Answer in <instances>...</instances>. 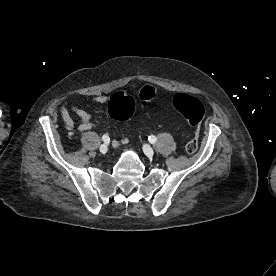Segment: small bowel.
I'll return each instance as SVG.
<instances>
[{"mask_svg":"<svg viewBox=\"0 0 276 276\" xmlns=\"http://www.w3.org/2000/svg\"><path fill=\"white\" fill-rule=\"evenodd\" d=\"M91 102L93 103H98V104H104L107 102V97L103 95H97L94 96L90 99ZM72 113H75L81 120L78 130L81 132L88 131L93 127V121L91 118V115L88 111L76 106V105H69V104H64L61 107V115L63 118V121L65 123V126L68 130H71L74 127V121L72 118ZM128 142V139L126 137L116 139L113 142V146L116 148H119L126 144Z\"/></svg>","mask_w":276,"mask_h":276,"instance_id":"small-bowel-1","label":"small bowel"}]
</instances>
